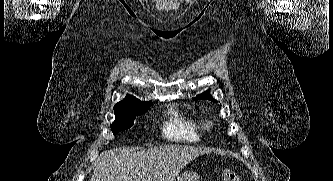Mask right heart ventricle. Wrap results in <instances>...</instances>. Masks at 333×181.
Wrapping results in <instances>:
<instances>
[{
  "mask_svg": "<svg viewBox=\"0 0 333 181\" xmlns=\"http://www.w3.org/2000/svg\"><path fill=\"white\" fill-rule=\"evenodd\" d=\"M202 130V123L198 119L187 116L176 109H171L163 133L171 140L195 142L201 138Z\"/></svg>",
  "mask_w": 333,
  "mask_h": 181,
  "instance_id": "1",
  "label": "right heart ventricle"
}]
</instances>
